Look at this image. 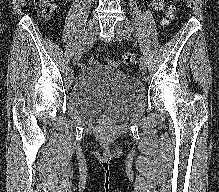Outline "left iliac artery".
<instances>
[{
	"label": "left iliac artery",
	"instance_id": "44dca946",
	"mask_svg": "<svg viewBox=\"0 0 219 192\" xmlns=\"http://www.w3.org/2000/svg\"><path fill=\"white\" fill-rule=\"evenodd\" d=\"M131 32H132V29H128V31L125 33V38H126L127 40H131ZM140 60H145L142 55H141V57H140Z\"/></svg>",
	"mask_w": 219,
	"mask_h": 192
}]
</instances>
